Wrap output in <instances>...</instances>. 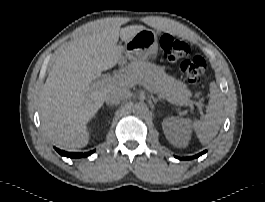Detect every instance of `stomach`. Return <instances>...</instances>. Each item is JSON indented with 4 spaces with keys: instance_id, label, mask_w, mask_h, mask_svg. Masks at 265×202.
<instances>
[{
    "instance_id": "obj_1",
    "label": "stomach",
    "mask_w": 265,
    "mask_h": 202,
    "mask_svg": "<svg viewBox=\"0 0 265 202\" xmlns=\"http://www.w3.org/2000/svg\"><path fill=\"white\" fill-rule=\"evenodd\" d=\"M157 51V34L151 29L137 32L124 45V53L132 62H142L150 56H155Z\"/></svg>"
}]
</instances>
